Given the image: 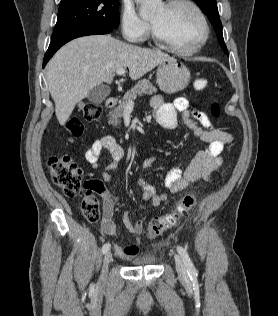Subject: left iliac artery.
Returning a JSON list of instances; mask_svg holds the SVG:
<instances>
[{"mask_svg": "<svg viewBox=\"0 0 278 316\" xmlns=\"http://www.w3.org/2000/svg\"><path fill=\"white\" fill-rule=\"evenodd\" d=\"M177 250L183 259V262L187 268V272H188L190 278L196 277L197 276L196 269L194 267L192 260L190 259L189 255H188L187 251L181 246H178Z\"/></svg>", "mask_w": 278, "mask_h": 316, "instance_id": "44dca946", "label": "left iliac artery"}]
</instances>
